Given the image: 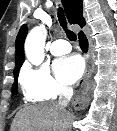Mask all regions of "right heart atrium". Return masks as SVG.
Segmentation results:
<instances>
[{
	"label": "right heart atrium",
	"instance_id": "obj_1",
	"mask_svg": "<svg viewBox=\"0 0 117 131\" xmlns=\"http://www.w3.org/2000/svg\"><path fill=\"white\" fill-rule=\"evenodd\" d=\"M20 83L24 95L31 101L56 99L70 90L51 75L47 66L26 64L20 74Z\"/></svg>",
	"mask_w": 117,
	"mask_h": 131
}]
</instances>
